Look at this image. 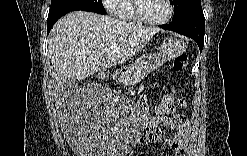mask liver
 Returning a JSON list of instances; mask_svg holds the SVG:
<instances>
[{"label":"liver","mask_w":247,"mask_h":156,"mask_svg":"<svg viewBox=\"0 0 247 156\" xmlns=\"http://www.w3.org/2000/svg\"><path fill=\"white\" fill-rule=\"evenodd\" d=\"M158 28L107 15L75 11L59 19L48 37V54L57 72L56 90L69 78L81 80L135 56Z\"/></svg>","instance_id":"obj_1"}]
</instances>
